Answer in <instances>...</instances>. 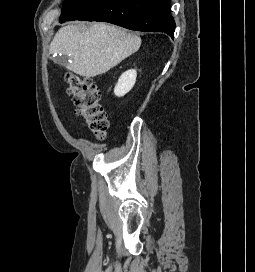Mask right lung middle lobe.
<instances>
[{"instance_id": "obj_1", "label": "right lung middle lobe", "mask_w": 255, "mask_h": 272, "mask_svg": "<svg viewBox=\"0 0 255 272\" xmlns=\"http://www.w3.org/2000/svg\"><path fill=\"white\" fill-rule=\"evenodd\" d=\"M90 0H65L62 7V14L60 17V22H64L73 13L80 9L83 5L88 3Z\"/></svg>"}]
</instances>
